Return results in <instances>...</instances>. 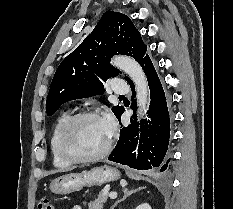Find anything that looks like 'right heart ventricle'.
<instances>
[{"label": "right heart ventricle", "mask_w": 233, "mask_h": 209, "mask_svg": "<svg viewBox=\"0 0 233 209\" xmlns=\"http://www.w3.org/2000/svg\"><path fill=\"white\" fill-rule=\"evenodd\" d=\"M71 116L69 111L62 112L57 118L50 137V150L54 166L58 168L69 167L72 163L64 159L60 153L59 141L62 129Z\"/></svg>", "instance_id": "right-heart-ventricle-1"}]
</instances>
